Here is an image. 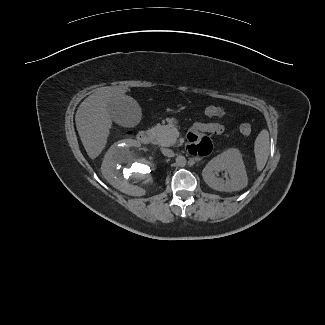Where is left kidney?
Here are the masks:
<instances>
[{
  "instance_id": "1",
  "label": "left kidney",
  "mask_w": 325,
  "mask_h": 325,
  "mask_svg": "<svg viewBox=\"0 0 325 325\" xmlns=\"http://www.w3.org/2000/svg\"><path fill=\"white\" fill-rule=\"evenodd\" d=\"M224 171L226 179L218 178ZM206 184L214 190L232 192L246 187L248 183L242 155L238 149H228L211 159L202 171Z\"/></svg>"
}]
</instances>
